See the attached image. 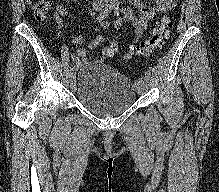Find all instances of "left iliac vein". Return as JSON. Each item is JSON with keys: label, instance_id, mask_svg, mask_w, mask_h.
Returning a JSON list of instances; mask_svg holds the SVG:
<instances>
[{"label": "left iliac vein", "instance_id": "obj_1", "mask_svg": "<svg viewBox=\"0 0 219 192\" xmlns=\"http://www.w3.org/2000/svg\"><path fill=\"white\" fill-rule=\"evenodd\" d=\"M150 83V77L144 76L143 80H140L136 84V90L138 94H143L148 89Z\"/></svg>", "mask_w": 219, "mask_h": 192}]
</instances>
